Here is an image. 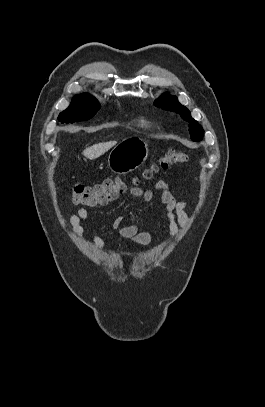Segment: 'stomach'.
<instances>
[{"mask_svg": "<svg viewBox=\"0 0 265 407\" xmlns=\"http://www.w3.org/2000/svg\"><path fill=\"white\" fill-rule=\"evenodd\" d=\"M148 157V145L142 139H128L117 144L108 156L110 170L127 174L137 169Z\"/></svg>", "mask_w": 265, "mask_h": 407, "instance_id": "1", "label": "stomach"}]
</instances>
